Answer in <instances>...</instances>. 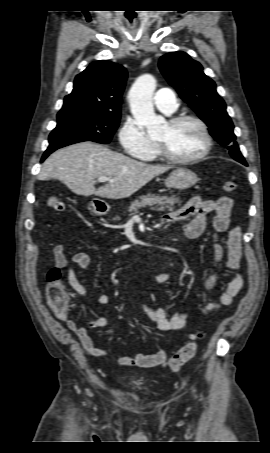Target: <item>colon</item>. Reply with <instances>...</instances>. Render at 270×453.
Instances as JSON below:
<instances>
[{
  "instance_id": "colon-1",
  "label": "colon",
  "mask_w": 270,
  "mask_h": 453,
  "mask_svg": "<svg viewBox=\"0 0 270 453\" xmlns=\"http://www.w3.org/2000/svg\"><path fill=\"white\" fill-rule=\"evenodd\" d=\"M222 189L225 192H233L237 189L236 182L227 180L222 183ZM47 205L58 212L64 210V203L58 196L51 195L47 199ZM47 301L52 312L57 316L68 315L70 309V298L66 292L63 282L62 273L57 267H53L47 274ZM204 338L203 332L195 333L191 340L176 351L167 361L166 367L172 371L179 370L184 364L191 360L198 349L199 342Z\"/></svg>"
}]
</instances>
